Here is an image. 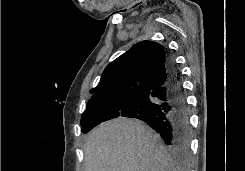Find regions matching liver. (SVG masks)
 Segmentation results:
<instances>
[{
  "label": "liver",
  "instance_id": "liver-1",
  "mask_svg": "<svg viewBox=\"0 0 245 171\" xmlns=\"http://www.w3.org/2000/svg\"><path fill=\"white\" fill-rule=\"evenodd\" d=\"M83 150L85 171H179L160 137L135 119L101 124L88 134Z\"/></svg>",
  "mask_w": 245,
  "mask_h": 171
}]
</instances>
